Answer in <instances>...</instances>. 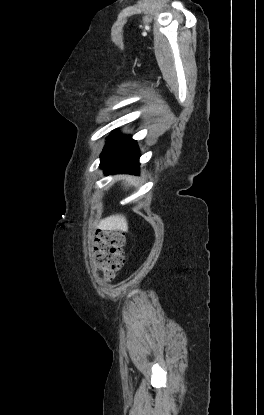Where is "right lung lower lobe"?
<instances>
[{
  "label": "right lung lower lobe",
  "mask_w": 264,
  "mask_h": 415,
  "mask_svg": "<svg viewBox=\"0 0 264 415\" xmlns=\"http://www.w3.org/2000/svg\"><path fill=\"white\" fill-rule=\"evenodd\" d=\"M139 152L135 140L130 136H120L116 131L112 133L101 154L100 167L106 174L138 173Z\"/></svg>",
  "instance_id": "98d812e1"
}]
</instances>
